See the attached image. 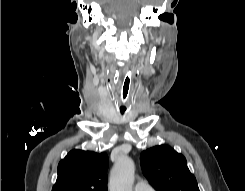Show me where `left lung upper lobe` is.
<instances>
[{"label": "left lung upper lobe", "instance_id": "obj_1", "mask_svg": "<svg viewBox=\"0 0 245 191\" xmlns=\"http://www.w3.org/2000/svg\"><path fill=\"white\" fill-rule=\"evenodd\" d=\"M144 175L157 191H199L186 158L173 148L160 145L140 155Z\"/></svg>", "mask_w": 245, "mask_h": 191}]
</instances>
